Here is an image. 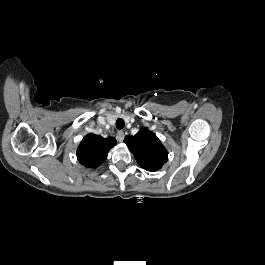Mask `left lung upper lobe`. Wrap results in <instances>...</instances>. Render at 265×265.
I'll list each match as a JSON object with an SVG mask.
<instances>
[{
    "label": "left lung upper lobe",
    "mask_w": 265,
    "mask_h": 265,
    "mask_svg": "<svg viewBox=\"0 0 265 265\" xmlns=\"http://www.w3.org/2000/svg\"><path fill=\"white\" fill-rule=\"evenodd\" d=\"M124 142L140 167L147 171L159 170L167 162V150L158 137L146 128H142L134 136H126Z\"/></svg>",
    "instance_id": "5c2ea615"
}]
</instances>
